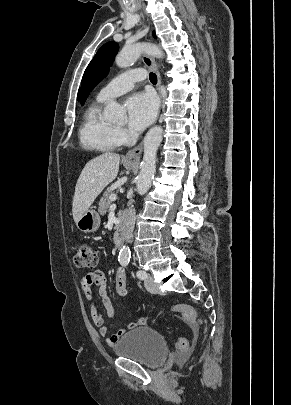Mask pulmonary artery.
I'll use <instances>...</instances> for the list:
<instances>
[{"instance_id": "obj_1", "label": "pulmonary artery", "mask_w": 291, "mask_h": 405, "mask_svg": "<svg viewBox=\"0 0 291 405\" xmlns=\"http://www.w3.org/2000/svg\"><path fill=\"white\" fill-rule=\"evenodd\" d=\"M145 72L141 69L126 71L106 84L98 93L97 98L110 100L134 88L136 82L144 80Z\"/></svg>"}]
</instances>
